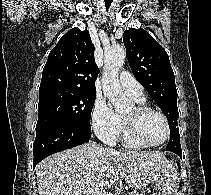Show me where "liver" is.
<instances>
[{
    "instance_id": "obj_1",
    "label": "liver",
    "mask_w": 211,
    "mask_h": 195,
    "mask_svg": "<svg viewBox=\"0 0 211 195\" xmlns=\"http://www.w3.org/2000/svg\"><path fill=\"white\" fill-rule=\"evenodd\" d=\"M168 161L161 152H137L104 148L94 143L55 153L36 167L39 195H97L119 180L135 188L132 174L149 177L139 189L150 183L158 163Z\"/></svg>"
}]
</instances>
